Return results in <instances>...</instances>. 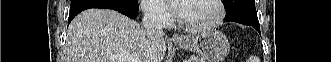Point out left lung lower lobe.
<instances>
[{"label": "left lung lower lobe", "instance_id": "obj_1", "mask_svg": "<svg viewBox=\"0 0 331 62\" xmlns=\"http://www.w3.org/2000/svg\"><path fill=\"white\" fill-rule=\"evenodd\" d=\"M224 22H237L243 25L251 26L260 33V25L258 18H251L247 16H237L233 18H225Z\"/></svg>", "mask_w": 331, "mask_h": 62}]
</instances>
